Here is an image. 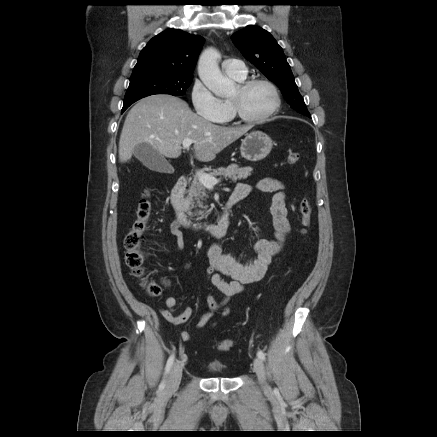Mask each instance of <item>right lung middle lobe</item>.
<instances>
[{"mask_svg": "<svg viewBox=\"0 0 437 437\" xmlns=\"http://www.w3.org/2000/svg\"><path fill=\"white\" fill-rule=\"evenodd\" d=\"M193 75L179 76L154 69L135 71L124 98L122 113L137 100L155 94L184 95L190 86Z\"/></svg>", "mask_w": 437, "mask_h": 437, "instance_id": "obj_1", "label": "right lung middle lobe"}]
</instances>
